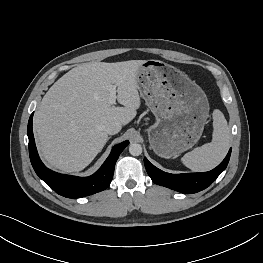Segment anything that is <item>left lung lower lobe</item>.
<instances>
[{
    "label": "left lung lower lobe",
    "instance_id": "obj_1",
    "mask_svg": "<svg viewBox=\"0 0 263 263\" xmlns=\"http://www.w3.org/2000/svg\"><path fill=\"white\" fill-rule=\"evenodd\" d=\"M230 155L231 149L225 159L215 169L204 173H166L152 165L147 158H144V164L148 175L156 184L181 193L191 194L204 190L211 185L227 167Z\"/></svg>",
    "mask_w": 263,
    "mask_h": 263
}]
</instances>
